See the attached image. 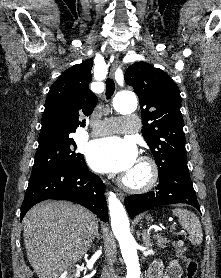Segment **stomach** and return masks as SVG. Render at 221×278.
<instances>
[{
  "label": "stomach",
  "instance_id": "obj_1",
  "mask_svg": "<svg viewBox=\"0 0 221 278\" xmlns=\"http://www.w3.org/2000/svg\"><path fill=\"white\" fill-rule=\"evenodd\" d=\"M146 219L147 220H152V217L151 216H146Z\"/></svg>",
  "mask_w": 221,
  "mask_h": 278
}]
</instances>
